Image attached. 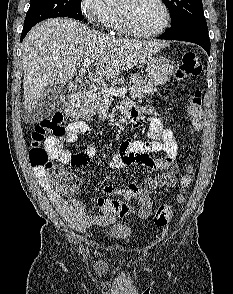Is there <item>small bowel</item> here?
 <instances>
[{
	"label": "small bowel",
	"mask_w": 233,
	"mask_h": 294,
	"mask_svg": "<svg viewBox=\"0 0 233 294\" xmlns=\"http://www.w3.org/2000/svg\"><path fill=\"white\" fill-rule=\"evenodd\" d=\"M122 110L129 115L133 128H139L142 125L141 113L132 103L124 102ZM89 131V126L83 121H74L68 124L64 134L52 140L55 159L73 167L89 163L95 154L93 147H88L78 154H71L63 149L64 142L75 143L80 136H87ZM154 154L161 155L153 157ZM177 154L178 146L172 132L164 128L162 121L154 113V116L150 118L148 140H125L120 145L118 153L112 157L109 166L112 169H122L127 166L140 165L153 171H159L160 174L146 178L141 185L131 183L123 190H118L112 185H104L102 191L106 195L122 194L126 202L100 197L97 199V205L101 210L100 214L86 213L80 201L65 199L53 186L48 171L40 167H35L34 171L64 221L73 229L83 231L91 225H107L116 216H128L129 214L121 212V205H130L129 203L132 201H136L138 204L139 216L142 219H147L152 207V192L157 188H171L177 184L178 166L175 163Z\"/></svg>",
	"instance_id": "1"
}]
</instances>
